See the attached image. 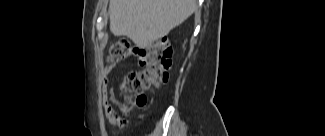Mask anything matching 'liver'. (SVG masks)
Masks as SVG:
<instances>
[{"label":"liver","instance_id":"liver-1","mask_svg":"<svg viewBox=\"0 0 325 136\" xmlns=\"http://www.w3.org/2000/svg\"><path fill=\"white\" fill-rule=\"evenodd\" d=\"M196 8V0H110V30L146 48L183 23Z\"/></svg>","mask_w":325,"mask_h":136}]
</instances>
